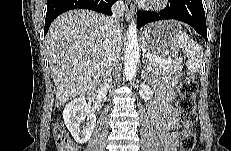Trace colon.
Wrapping results in <instances>:
<instances>
[{"label":"colon","mask_w":231,"mask_h":151,"mask_svg":"<svg viewBox=\"0 0 231 151\" xmlns=\"http://www.w3.org/2000/svg\"><path fill=\"white\" fill-rule=\"evenodd\" d=\"M180 99L178 107L180 119L184 124V132L180 139V151H193L196 145V133L194 123L197 120L196 94L198 85L192 76H187L179 85ZM55 144L59 151H78L76 144L71 140L64 125L55 123L53 127Z\"/></svg>","instance_id":"colon-1"}]
</instances>
